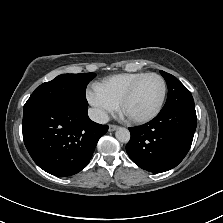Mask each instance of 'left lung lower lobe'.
Returning a JSON list of instances; mask_svg holds the SVG:
<instances>
[{
  "label": "left lung lower lobe",
  "mask_w": 223,
  "mask_h": 223,
  "mask_svg": "<svg viewBox=\"0 0 223 223\" xmlns=\"http://www.w3.org/2000/svg\"><path fill=\"white\" fill-rule=\"evenodd\" d=\"M197 117L195 108L161 111L147 124L129 128L126 151L142 169L160 173L176 167L188 153Z\"/></svg>",
  "instance_id": "0a47b994"
}]
</instances>
